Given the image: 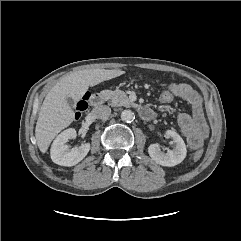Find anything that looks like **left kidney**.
I'll return each mask as SVG.
<instances>
[{"mask_svg":"<svg viewBox=\"0 0 241 241\" xmlns=\"http://www.w3.org/2000/svg\"><path fill=\"white\" fill-rule=\"evenodd\" d=\"M165 135L174 140L175 146L173 150H168L167 153H164L161 151L159 144L155 143L148 147V153L157 164L172 167L185 159L187 149L183 139L175 131L168 130Z\"/></svg>","mask_w":241,"mask_h":241,"instance_id":"1","label":"left kidney"}]
</instances>
